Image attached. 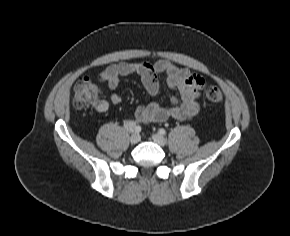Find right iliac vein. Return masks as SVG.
I'll list each match as a JSON object with an SVG mask.
<instances>
[{
	"label": "right iliac vein",
	"mask_w": 290,
	"mask_h": 236,
	"mask_svg": "<svg viewBox=\"0 0 290 236\" xmlns=\"http://www.w3.org/2000/svg\"><path fill=\"white\" fill-rule=\"evenodd\" d=\"M140 135L138 133H133L131 136H130V142L133 143V144H136L140 141Z\"/></svg>",
	"instance_id": "63e3f726"
}]
</instances>
